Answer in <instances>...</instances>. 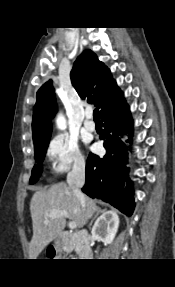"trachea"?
<instances>
[{
  "mask_svg": "<svg viewBox=\"0 0 175 287\" xmlns=\"http://www.w3.org/2000/svg\"><path fill=\"white\" fill-rule=\"evenodd\" d=\"M94 120H99V111L98 109H95L93 112Z\"/></svg>",
  "mask_w": 175,
  "mask_h": 287,
  "instance_id": "trachea-1",
  "label": "trachea"
}]
</instances>
